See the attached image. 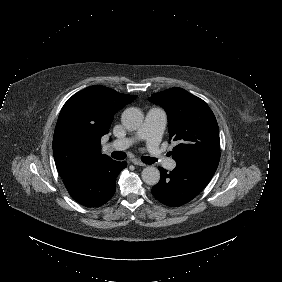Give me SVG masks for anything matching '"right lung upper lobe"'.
Listing matches in <instances>:
<instances>
[{
	"mask_svg": "<svg viewBox=\"0 0 282 282\" xmlns=\"http://www.w3.org/2000/svg\"><path fill=\"white\" fill-rule=\"evenodd\" d=\"M137 96L94 85L73 95L63 106L53 137V154L60 177L101 160V137L109 132L113 115Z\"/></svg>",
	"mask_w": 282,
	"mask_h": 282,
	"instance_id": "1",
	"label": "right lung upper lobe"
}]
</instances>
